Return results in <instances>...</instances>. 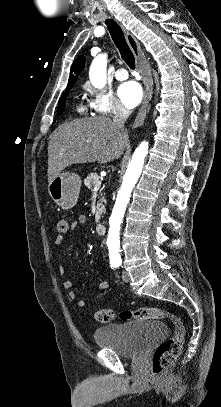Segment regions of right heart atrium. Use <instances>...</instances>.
<instances>
[{"label": "right heart atrium", "mask_w": 221, "mask_h": 407, "mask_svg": "<svg viewBox=\"0 0 221 407\" xmlns=\"http://www.w3.org/2000/svg\"><path fill=\"white\" fill-rule=\"evenodd\" d=\"M89 93V105L99 115H112L126 113L128 109L110 92L104 89H95L89 83L84 85Z\"/></svg>", "instance_id": "obj_1"}]
</instances>
